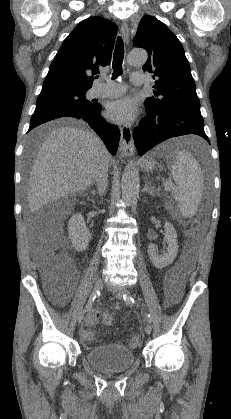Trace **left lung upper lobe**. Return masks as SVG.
Masks as SVG:
<instances>
[{
    "label": "left lung upper lobe",
    "mask_w": 231,
    "mask_h": 419,
    "mask_svg": "<svg viewBox=\"0 0 231 419\" xmlns=\"http://www.w3.org/2000/svg\"><path fill=\"white\" fill-rule=\"evenodd\" d=\"M133 44L148 52L144 71L153 73L156 85L154 96L145 101L153 109L174 106L200 105L189 62L176 35L153 16H144Z\"/></svg>",
    "instance_id": "1"
}]
</instances>
